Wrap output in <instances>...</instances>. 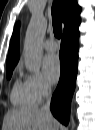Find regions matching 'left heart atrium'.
I'll return each instance as SVG.
<instances>
[{"label":"left heart atrium","instance_id":"1","mask_svg":"<svg viewBox=\"0 0 95 130\" xmlns=\"http://www.w3.org/2000/svg\"><path fill=\"white\" fill-rule=\"evenodd\" d=\"M43 69L51 83L58 81L61 74V63L57 55L49 54L43 60Z\"/></svg>","mask_w":95,"mask_h":130}]
</instances>
